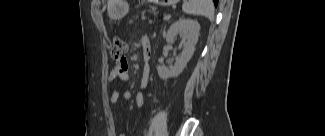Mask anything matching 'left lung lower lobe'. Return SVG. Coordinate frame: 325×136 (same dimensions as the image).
<instances>
[{
  "label": "left lung lower lobe",
  "instance_id": "left-lung-lower-lobe-1",
  "mask_svg": "<svg viewBox=\"0 0 325 136\" xmlns=\"http://www.w3.org/2000/svg\"><path fill=\"white\" fill-rule=\"evenodd\" d=\"M215 6H217L218 0H213Z\"/></svg>",
  "mask_w": 325,
  "mask_h": 136
}]
</instances>
